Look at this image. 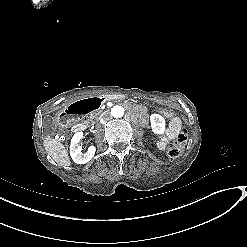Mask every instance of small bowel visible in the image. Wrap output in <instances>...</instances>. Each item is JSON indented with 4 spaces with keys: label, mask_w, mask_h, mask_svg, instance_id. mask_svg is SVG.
Segmentation results:
<instances>
[{
    "label": "small bowel",
    "mask_w": 247,
    "mask_h": 247,
    "mask_svg": "<svg viewBox=\"0 0 247 247\" xmlns=\"http://www.w3.org/2000/svg\"><path fill=\"white\" fill-rule=\"evenodd\" d=\"M167 115H170V113H167ZM181 132V121L179 118L174 117L171 120L165 135L159 138L157 143L158 148L164 150L171 141L175 140L179 136Z\"/></svg>",
    "instance_id": "small-bowel-1"
}]
</instances>
